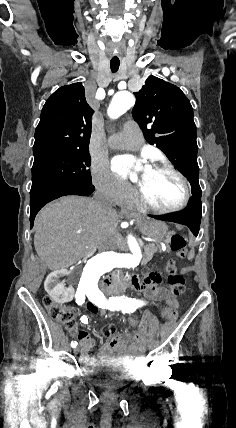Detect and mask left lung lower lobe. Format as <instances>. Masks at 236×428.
<instances>
[{
  "mask_svg": "<svg viewBox=\"0 0 236 428\" xmlns=\"http://www.w3.org/2000/svg\"><path fill=\"white\" fill-rule=\"evenodd\" d=\"M202 215L201 191L192 193L188 206L177 213L168 215H149L158 220L170 221L186 225L197 236Z\"/></svg>",
  "mask_w": 236,
  "mask_h": 428,
  "instance_id": "1",
  "label": "left lung lower lobe"
}]
</instances>
